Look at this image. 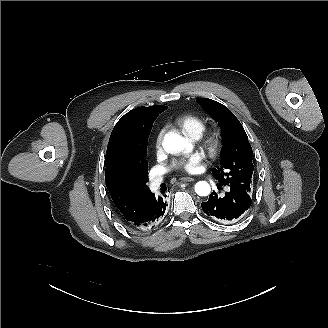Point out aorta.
I'll return each instance as SVG.
<instances>
[{
	"label": "aorta",
	"mask_w": 328,
	"mask_h": 328,
	"mask_svg": "<svg viewBox=\"0 0 328 328\" xmlns=\"http://www.w3.org/2000/svg\"><path fill=\"white\" fill-rule=\"evenodd\" d=\"M164 148L169 153H177L188 147L185 138L178 134H167L163 141ZM195 192L199 196H207L211 192L210 185L205 181H199L195 184Z\"/></svg>",
	"instance_id": "1"
}]
</instances>
